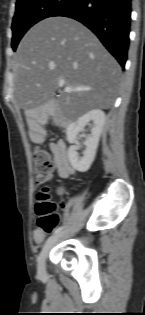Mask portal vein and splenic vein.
<instances>
[{"instance_id":"18ae733b","label":"portal vein and splenic vein","mask_w":145,"mask_h":315,"mask_svg":"<svg viewBox=\"0 0 145 315\" xmlns=\"http://www.w3.org/2000/svg\"><path fill=\"white\" fill-rule=\"evenodd\" d=\"M65 85V81L64 80H60L58 82V86L59 87H63ZM91 88H88V87H77V88H70V87H65L64 88V92H78V91H88L90 90Z\"/></svg>"}]
</instances>
